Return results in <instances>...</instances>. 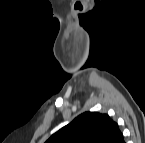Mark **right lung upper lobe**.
Here are the masks:
<instances>
[{"label": "right lung upper lobe", "mask_w": 145, "mask_h": 143, "mask_svg": "<svg viewBox=\"0 0 145 143\" xmlns=\"http://www.w3.org/2000/svg\"><path fill=\"white\" fill-rule=\"evenodd\" d=\"M46 143H124V139L118 125L107 114L85 112Z\"/></svg>", "instance_id": "cb5924a9"}]
</instances>
